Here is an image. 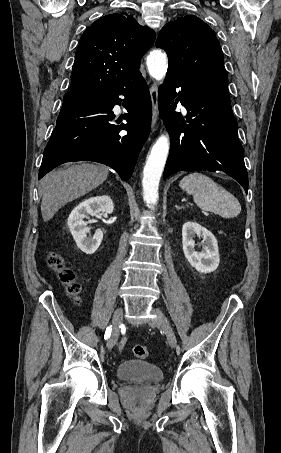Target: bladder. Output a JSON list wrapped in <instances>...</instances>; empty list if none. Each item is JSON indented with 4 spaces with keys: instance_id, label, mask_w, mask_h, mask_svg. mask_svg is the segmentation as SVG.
I'll list each match as a JSON object with an SVG mask.
<instances>
[{
    "instance_id": "31cf9c89",
    "label": "bladder",
    "mask_w": 281,
    "mask_h": 453,
    "mask_svg": "<svg viewBox=\"0 0 281 453\" xmlns=\"http://www.w3.org/2000/svg\"><path fill=\"white\" fill-rule=\"evenodd\" d=\"M119 378L143 382H158L162 380V371L147 362L125 361L117 368Z\"/></svg>"
}]
</instances>
